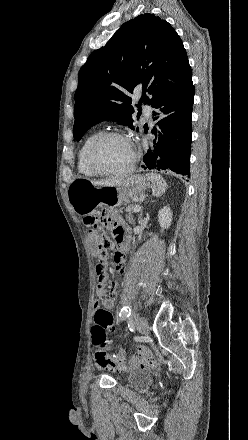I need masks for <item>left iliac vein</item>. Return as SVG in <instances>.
Here are the masks:
<instances>
[{"label": "left iliac vein", "mask_w": 248, "mask_h": 440, "mask_svg": "<svg viewBox=\"0 0 248 440\" xmlns=\"http://www.w3.org/2000/svg\"><path fill=\"white\" fill-rule=\"evenodd\" d=\"M135 324H136V328L141 333H145L148 330V322L146 318L143 316H137Z\"/></svg>", "instance_id": "1"}]
</instances>
